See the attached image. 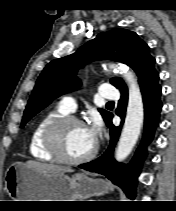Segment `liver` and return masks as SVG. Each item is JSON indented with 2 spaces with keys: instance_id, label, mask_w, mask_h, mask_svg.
<instances>
[{
  "instance_id": "liver-1",
  "label": "liver",
  "mask_w": 176,
  "mask_h": 211,
  "mask_svg": "<svg viewBox=\"0 0 176 211\" xmlns=\"http://www.w3.org/2000/svg\"><path fill=\"white\" fill-rule=\"evenodd\" d=\"M26 166L30 168H34L39 171H45V172H62V173H70L73 172V170L69 167L54 165V164H47V163H41L37 161H27L24 163Z\"/></svg>"
}]
</instances>
